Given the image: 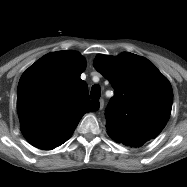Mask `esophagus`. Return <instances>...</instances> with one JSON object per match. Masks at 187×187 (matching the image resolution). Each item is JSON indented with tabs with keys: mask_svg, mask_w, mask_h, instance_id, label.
Wrapping results in <instances>:
<instances>
[{
	"mask_svg": "<svg viewBox=\"0 0 187 187\" xmlns=\"http://www.w3.org/2000/svg\"><path fill=\"white\" fill-rule=\"evenodd\" d=\"M103 107H104V100L100 99L99 100V109L101 110V109H103Z\"/></svg>",
	"mask_w": 187,
	"mask_h": 187,
	"instance_id": "obj_1",
	"label": "esophagus"
}]
</instances>
